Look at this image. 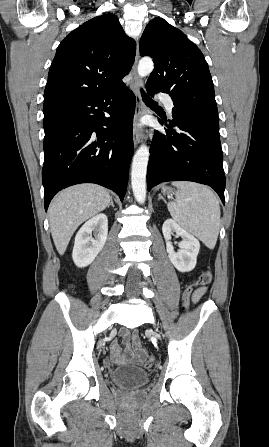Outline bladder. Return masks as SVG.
Listing matches in <instances>:
<instances>
[{
	"instance_id": "bladder-1",
	"label": "bladder",
	"mask_w": 269,
	"mask_h": 447,
	"mask_svg": "<svg viewBox=\"0 0 269 447\" xmlns=\"http://www.w3.org/2000/svg\"><path fill=\"white\" fill-rule=\"evenodd\" d=\"M110 377L114 385L126 390H135L146 385L150 373L143 368L125 365L115 368Z\"/></svg>"
}]
</instances>
